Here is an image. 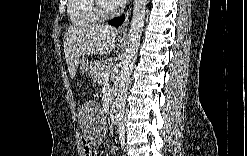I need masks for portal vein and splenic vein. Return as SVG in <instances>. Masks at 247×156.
<instances>
[{"label":"portal vein and splenic vein","mask_w":247,"mask_h":156,"mask_svg":"<svg viewBox=\"0 0 247 156\" xmlns=\"http://www.w3.org/2000/svg\"><path fill=\"white\" fill-rule=\"evenodd\" d=\"M109 77H110V71H108V72L105 74V80L108 81V80H109Z\"/></svg>","instance_id":"1"}]
</instances>
